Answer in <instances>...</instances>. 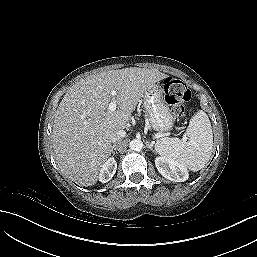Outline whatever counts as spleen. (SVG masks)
<instances>
[{
    "instance_id": "spleen-1",
    "label": "spleen",
    "mask_w": 257,
    "mask_h": 257,
    "mask_svg": "<svg viewBox=\"0 0 257 257\" xmlns=\"http://www.w3.org/2000/svg\"><path fill=\"white\" fill-rule=\"evenodd\" d=\"M189 139L164 137L156 141L155 151L167 159L175 160L191 171L202 169L209 161L213 149L210 120L202 110L196 112L186 129Z\"/></svg>"
}]
</instances>
